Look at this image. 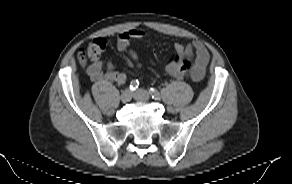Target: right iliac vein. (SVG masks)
<instances>
[{
	"label": "right iliac vein",
	"instance_id": "1",
	"mask_svg": "<svg viewBox=\"0 0 292 184\" xmlns=\"http://www.w3.org/2000/svg\"><path fill=\"white\" fill-rule=\"evenodd\" d=\"M132 98V92L129 89H126L122 92L121 94V101L123 103H127L131 100Z\"/></svg>",
	"mask_w": 292,
	"mask_h": 184
}]
</instances>
